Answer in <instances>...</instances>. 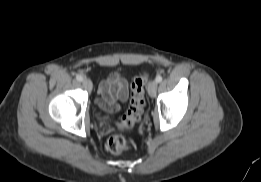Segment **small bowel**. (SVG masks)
<instances>
[{
    "mask_svg": "<svg viewBox=\"0 0 261 182\" xmlns=\"http://www.w3.org/2000/svg\"><path fill=\"white\" fill-rule=\"evenodd\" d=\"M100 98L97 100L101 109L107 112H116L121 104L127 102L129 86L126 78L119 72H113L107 79L99 82Z\"/></svg>",
    "mask_w": 261,
    "mask_h": 182,
    "instance_id": "1",
    "label": "small bowel"
}]
</instances>
